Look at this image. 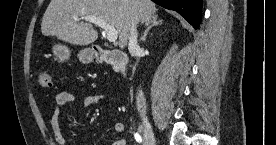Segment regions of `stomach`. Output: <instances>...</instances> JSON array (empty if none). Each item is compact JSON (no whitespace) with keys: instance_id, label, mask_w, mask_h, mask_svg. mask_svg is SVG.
Masks as SVG:
<instances>
[{"instance_id":"1","label":"stomach","mask_w":276,"mask_h":145,"mask_svg":"<svg viewBox=\"0 0 276 145\" xmlns=\"http://www.w3.org/2000/svg\"><path fill=\"white\" fill-rule=\"evenodd\" d=\"M54 55L59 61H66L70 56L68 47L62 44H55L52 48ZM78 58L83 63H90L95 58V51L92 48H87L79 52Z\"/></svg>"}]
</instances>
